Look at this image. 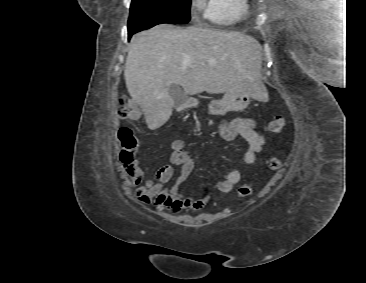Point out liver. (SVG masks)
I'll return each mask as SVG.
<instances>
[{
	"label": "liver",
	"instance_id": "1",
	"mask_svg": "<svg viewBox=\"0 0 366 283\" xmlns=\"http://www.w3.org/2000/svg\"><path fill=\"white\" fill-rule=\"evenodd\" d=\"M261 59L257 41L241 33L161 24L132 38L124 77L148 128L156 130L172 114L171 85L186 95L236 91L261 100Z\"/></svg>",
	"mask_w": 366,
	"mask_h": 283
}]
</instances>
